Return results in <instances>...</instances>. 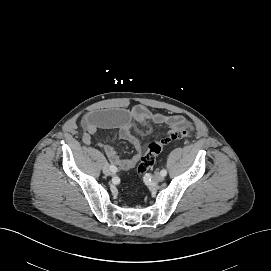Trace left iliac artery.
I'll use <instances>...</instances> for the list:
<instances>
[{
  "instance_id": "1",
  "label": "left iliac artery",
  "mask_w": 271,
  "mask_h": 271,
  "mask_svg": "<svg viewBox=\"0 0 271 271\" xmlns=\"http://www.w3.org/2000/svg\"><path fill=\"white\" fill-rule=\"evenodd\" d=\"M160 173H161L162 176H166L167 175V170L166 169H162Z\"/></svg>"
}]
</instances>
